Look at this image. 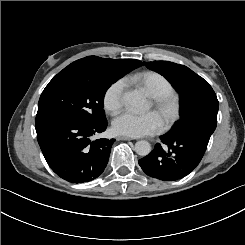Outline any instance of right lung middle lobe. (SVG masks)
Listing matches in <instances>:
<instances>
[{"label":"right lung middle lobe","instance_id":"1","mask_svg":"<svg viewBox=\"0 0 245 245\" xmlns=\"http://www.w3.org/2000/svg\"><path fill=\"white\" fill-rule=\"evenodd\" d=\"M131 70L128 66L85 59L71 63L45 87L35 123L53 119L90 123L105 120L106 90Z\"/></svg>","mask_w":245,"mask_h":245}]
</instances>
